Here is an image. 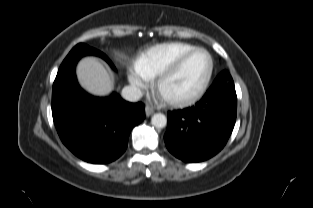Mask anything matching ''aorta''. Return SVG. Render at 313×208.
<instances>
[{
  "mask_svg": "<svg viewBox=\"0 0 313 208\" xmlns=\"http://www.w3.org/2000/svg\"><path fill=\"white\" fill-rule=\"evenodd\" d=\"M151 124L156 128H164L167 124V118L164 114L156 113L151 118Z\"/></svg>",
  "mask_w": 313,
  "mask_h": 208,
  "instance_id": "obj_1",
  "label": "aorta"
}]
</instances>
